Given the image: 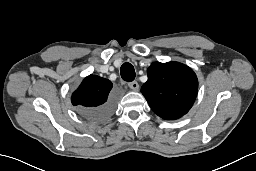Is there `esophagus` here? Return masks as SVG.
<instances>
[{
    "mask_svg": "<svg viewBox=\"0 0 256 171\" xmlns=\"http://www.w3.org/2000/svg\"><path fill=\"white\" fill-rule=\"evenodd\" d=\"M128 86H129L130 89H132L134 91H138L139 90V84L136 81L130 82L128 84Z\"/></svg>",
    "mask_w": 256,
    "mask_h": 171,
    "instance_id": "1",
    "label": "esophagus"
}]
</instances>
